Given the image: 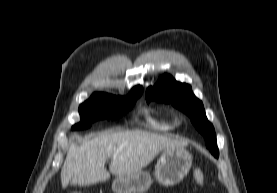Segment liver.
<instances>
[{
  "label": "liver",
  "instance_id": "1",
  "mask_svg": "<svg viewBox=\"0 0 277 193\" xmlns=\"http://www.w3.org/2000/svg\"><path fill=\"white\" fill-rule=\"evenodd\" d=\"M187 144L185 140L140 130L103 132L80 146H69L61 170L62 187L70 182L80 186L95 184L108 180L110 173L128 176L141 171L159 152ZM107 159H111L109 171L105 168Z\"/></svg>",
  "mask_w": 277,
  "mask_h": 193
}]
</instances>
